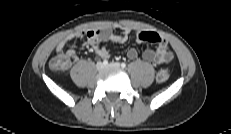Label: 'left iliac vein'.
I'll use <instances>...</instances> for the list:
<instances>
[{
  "label": "left iliac vein",
  "mask_w": 231,
  "mask_h": 134,
  "mask_svg": "<svg viewBox=\"0 0 231 134\" xmlns=\"http://www.w3.org/2000/svg\"><path fill=\"white\" fill-rule=\"evenodd\" d=\"M120 64L118 62H112L106 66V68H119Z\"/></svg>",
  "instance_id": "left-iliac-vein-1"
}]
</instances>
